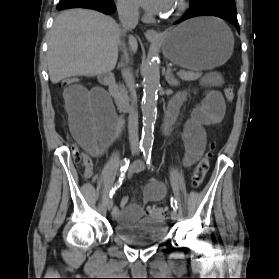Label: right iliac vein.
Listing matches in <instances>:
<instances>
[{"label":"right iliac vein","mask_w":279,"mask_h":279,"mask_svg":"<svg viewBox=\"0 0 279 279\" xmlns=\"http://www.w3.org/2000/svg\"><path fill=\"white\" fill-rule=\"evenodd\" d=\"M113 207V199L112 198H109L107 200V209L110 211Z\"/></svg>","instance_id":"obj_1"}]
</instances>
